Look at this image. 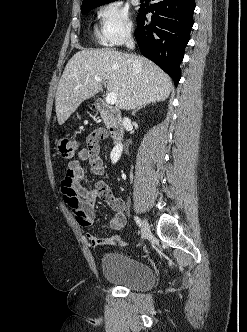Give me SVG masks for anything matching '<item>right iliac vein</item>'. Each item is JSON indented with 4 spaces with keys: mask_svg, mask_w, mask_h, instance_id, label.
Returning a JSON list of instances; mask_svg holds the SVG:
<instances>
[{
    "mask_svg": "<svg viewBox=\"0 0 247 332\" xmlns=\"http://www.w3.org/2000/svg\"><path fill=\"white\" fill-rule=\"evenodd\" d=\"M149 234H150V226H149V224L147 223L146 220H143L142 230H141L142 239L147 238L149 236Z\"/></svg>",
    "mask_w": 247,
    "mask_h": 332,
    "instance_id": "obj_1",
    "label": "right iliac vein"
}]
</instances>
